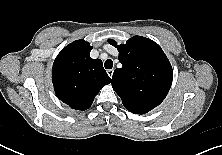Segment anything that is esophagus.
<instances>
[{"label": "esophagus", "mask_w": 222, "mask_h": 155, "mask_svg": "<svg viewBox=\"0 0 222 155\" xmlns=\"http://www.w3.org/2000/svg\"><path fill=\"white\" fill-rule=\"evenodd\" d=\"M113 73H114V70H113V69L107 70V74H108V76H109L110 78H112Z\"/></svg>", "instance_id": "esophagus-1"}]
</instances>
